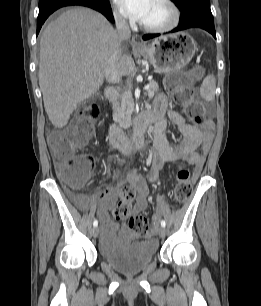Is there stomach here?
Masks as SVG:
<instances>
[{
  "mask_svg": "<svg viewBox=\"0 0 261 306\" xmlns=\"http://www.w3.org/2000/svg\"><path fill=\"white\" fill-rule=\"evenodd\" d=\"M197 44L186 32L160 36L137 50L158 73L180 70L193 58Z\"/></svg>",
  "mask_w": 261,
  "mask_h": 306,
  "instance_id": "stomach-1",
  "label": "stomach"
}]
</instances>
